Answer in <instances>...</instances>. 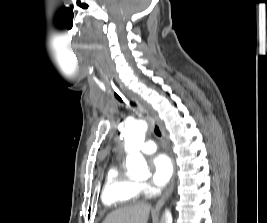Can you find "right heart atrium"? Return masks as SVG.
Instances as JSON below:
<instances>
[{
    "mask_svg": "<svg viewBox=\"0 0 267 223\" xmlns=\"http://www.w3.org/2000/svg\"><path fill=\"white\" fill-rule=\"evenodd\" d=\"M139 188H140L141 190H145V189H146L145 186H143V185H139Z\"/></svg>",
    "mask_w": 267,
    "mask_h": 223,
    "instance_id": "d8ad5b80",
    "label": "right heart atrium"
}]
</instances>
